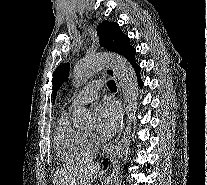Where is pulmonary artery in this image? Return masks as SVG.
<instances>
[{"label": "pulmonary artery", "mask_w": 207, "mask_h": 185, "mask_svg": "<svg viewBox=\"0 0 207 185\" xmlns=\"http://www.w3.org/2000/svg\"><path fill=\"white\" fill-rule=\"evenodd\" d=\"M91 85L82 86V91L72 99L71 108L80 104L89 103L98 97L99 90H93V86H97L98 82L92 81Z\"/></svg>", "instance_id": "pulmonary-artery-1"}]
</instances>
